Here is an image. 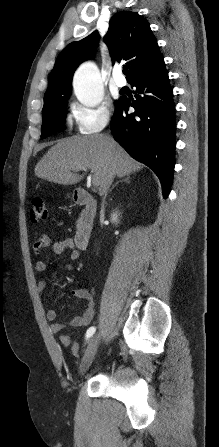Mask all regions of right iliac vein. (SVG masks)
<instances>
[{
	"label": "right iliac vein",
	"mask_w": 219,
	"mask_h": 447,
	"mask_svg": "<svg viewBox=\"0 0 219 447\" xmlns=\"http://www.w3.org/2000/svg\"><path fill=\"white\" fill-rule=\"evenodd\" d=\"M99 340H100V335L99 334L94 335L90 339V341H89V343L87 345V348L85 350L84 356L82 358L81 364L79 366V374L81 376H83L86 373V371L88 370L89 366L91 365L92 360L94 359V356H95L96 351H97Z\"/></svg>",
	"instance_id": "63e3f726"
}]
</instances>
